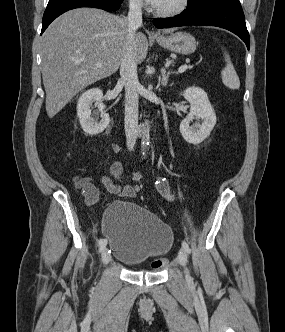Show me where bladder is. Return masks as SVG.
I'll use <instances>...</instances> for the list:
<instances>
[{
	"label": "bladder",
	"instance_id": "1",
	"mask_svg": "<svg viewBox=\"0 0 285 332\" xmlns=\"http://www.w3.org/2000/svg\"><path fill=\"white\" fill-rule=\"evenodd\" d=\"M103 233L110 255L135 266L150 256L168 250L172 232L155 214L130 202H114L105 211Z\"/></svg>",
	"mask_w": 285,
	"mask_h": 332
}]
</instances>
